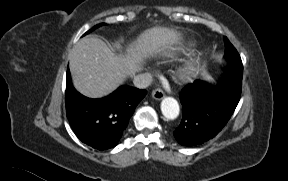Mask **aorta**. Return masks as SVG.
Listing matches in <instances>:
<instances>
[{"mask_svg": "<svg viewBox=\"0 0 288 181\" xmlns=\"http://www.w3.org/2000/svg\"><path fill=\"white\" fill-rule=\"evenodd\" d=\"M161 111L164 117L173 120L179 115V104L172 97H165L161 102Z\"/></svg>", "mask_w": 288, "mask_h": 181, "instance_id": "1", "label": "aorta"}]
</instances>
